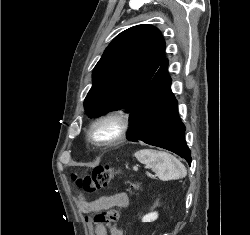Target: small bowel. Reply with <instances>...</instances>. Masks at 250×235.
<instances>
[{"instance_id": "c3829d8e", "label": "small bowel", "mask_w": 250, "mask_h": 235, "mask_svg": "<svg viewBox=\"0 0 250 235\" xmlns=\"http://www.w3.org/2000/svg\"><path fill=\"white\" fill-rule=\"evenodd\" d=\"M129 203V195L125 192H120L103 196L91 203H84L82 204L81 209L84 213H94L114 207L127 208ZM90 223L94 227L95 235H123V230L116 225L97 223L92 219L90 220Z\"/></svg>"}]
</instances>
